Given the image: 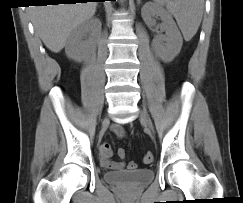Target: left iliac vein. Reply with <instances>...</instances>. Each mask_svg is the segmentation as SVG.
Here are the masks:
<instances>
[{"mask_svg":"<svg viewBox=\"0 0 243 203\" xmlns=\"http://www.w3.org/2000/svg\"><path fill=\"white\" fill-rule=\"evenodd\" d=\"M139 118L151 131L153 130L152 121L145 111H140Z\"/></svg>","mask_w":243,"mask_h":203,"instance_id":"4c4485c4","label":"left iliac vein"}]
</instances>
